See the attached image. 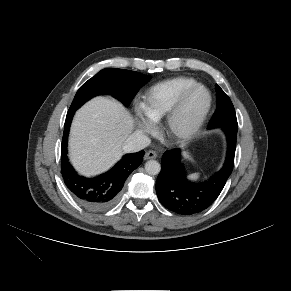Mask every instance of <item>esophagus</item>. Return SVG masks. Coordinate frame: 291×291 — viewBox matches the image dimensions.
<instances>
[{
  "label": "esophagus",
  "instance_id": "1",
  "mask_svg": "<svg viewBox=\"0 0 291 291\" xmlns=\"http://www.w3.org/2000/svg\"><path fill=\"white\" fill-rule=\"evenodd\" d=\"M157 157V153L153 150H149L146 152L145 154V159L148 160V159H155Z\"/></svg>",
  "mask_w": 291,
  "mask_h": 291
}]
</instances>
